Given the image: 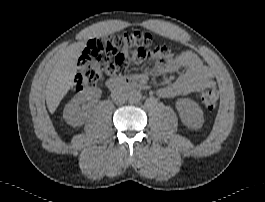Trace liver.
<instances>
[{
  "instance_id": "liver-1",
  "label": "liver",
  "mask_w": 265,
  "mask_h": 202,
  "mask_svg": "<svg viewBox=\"0 0 265 202\" xmlns=\"http://www.w3.org/2000/svg\"><path fill=\"white\" fill-rule=\"evenodd\" d=\"M85 42H77L62 51L49 75L46 85V104L53 114L61 100L73 85L77 73V60L81 56Z\"/></svg>"
}]
</instances>
